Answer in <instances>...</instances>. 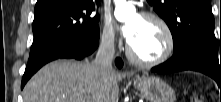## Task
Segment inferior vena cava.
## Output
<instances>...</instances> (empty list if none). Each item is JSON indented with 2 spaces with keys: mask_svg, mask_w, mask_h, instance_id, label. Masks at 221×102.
I'll use <instances>...</instances> for the list:
<instances>
[{
  "mask_svg": "<svg viewBox=\"0 0 221 102\" xmlns=\"http://www.w3.org/2000/svg\"><path fill=\"white\" fill-rule=\"evenodd\" d=\"M114 34H108L101 40L94 64L105 69H112L114 59Z\"/></svg>",
  "mask_w": 221,
  "mask_h": 102,
  "instance_id": "1",
  "label": "inferior vena cava"
}]
</instances>
